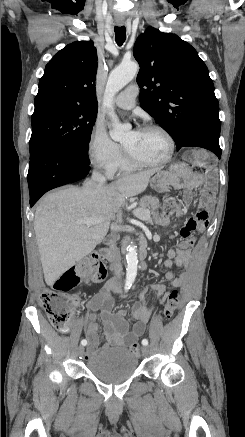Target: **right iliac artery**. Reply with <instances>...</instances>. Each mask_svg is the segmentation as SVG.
I'll return each instance as SVG.
<instances>
[{"label":"right iliac artery","mask_w":245,"mask_h":437,"mask_svg":"<svg viewBox=\"0 0 245 437\" xmlns=\"http://www.w3.org/2000/svg\"><path fill=\"white\" fill-rule=\"evenodd\" d=\"M131 287V284H126L125 285V291H128V289ZM87 344V340L86 339H83L82 341H81V345H83V346H85Z\"/></svg>","instance_id":"1"}]
</instances>
